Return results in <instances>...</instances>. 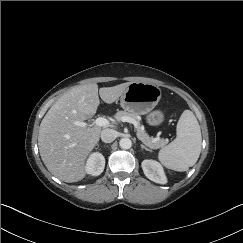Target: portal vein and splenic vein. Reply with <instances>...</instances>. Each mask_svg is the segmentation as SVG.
Listing matches in <instances>:
<instances>
[{"mask_svg": "<svg viewBox=\"0 0 243 243\" xmlns=\"http://www.w3.org/2000/svg\"><path fill=\"white\" fill-rule=\"evenodd\" d=\"M122 122L131 123V124L134 125L135 129L137 128V122L135 120H133L132 118L123 117ZM73 124L75 126H79V127H87L88 126V124L86 122H83V121H74ZM93 124L96 125V126L105 127V126H108L110 124V122H109L108 119H106L104 117H98L97 119H95Z\"/></svg>", "mask_w": 243, "mask_h": 243, "instance_id": "1", "label": "portal vein and splenic vein"}]
</instances>
